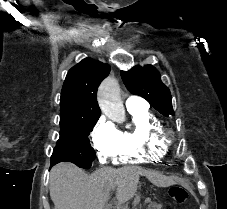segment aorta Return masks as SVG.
Here are the masks:
<instances>
[{"instance_id": "obj_1", "label": "aorta", "mask_w": 227, "mask_h": 209, "mask_svg": "<svg viewBox=\"0 0 227 209\" xmlns=\"http://www.w3.org/2000/svg\"><path fill=\"white\" fill-rule=\"evenodd\" d=\"M98 101L102 112L112 120L125 117L124 106L120 99L119 85L116 79L108 77L100 86Z\"/></svg>"}]
</instances>
